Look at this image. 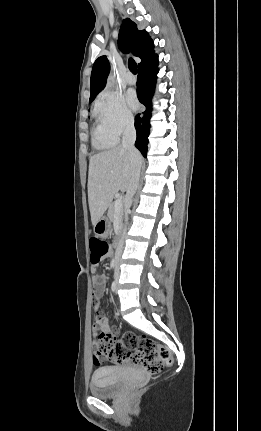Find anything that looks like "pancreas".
<instances>
[{"instance_id": "cf45deb5", "label": "pancreas", "mask_w": 261, "mask_h": 431, "mask_svg": "<svg viewBox=\"0 0 261 431\" xmlns=\"http://www.w3.org/2000/svg\"><path fill=\"white\" fill-rule=\"evenodd\" d=\"M114 204L115 202H113L112 204H110L109 209H108V218L110 220V222H114V220L117 218L119 224H121L122 222V218H123V208H121L119 211H116L114 208Z\"/></svg>"}]
</instances>
